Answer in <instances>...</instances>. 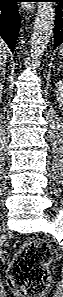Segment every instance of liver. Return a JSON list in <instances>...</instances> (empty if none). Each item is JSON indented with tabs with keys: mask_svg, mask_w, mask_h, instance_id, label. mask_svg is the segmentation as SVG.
Masks as SVG:
<instances>
[{
	"mask_svg": "<svg viewBox=\"0 0 63 297\" xmlns=\"http://www.w3.org/2000/svg\"><path fill=\"white\" fill-rule=\"evenodd\" d=\"M8 53V47L3 40H0V65H3L6 61Z\"/></svg>",
	"mask_w": 63,
	"mask_h": 297,
	"instance_id": "liver-1",
	"label": "liver"
}]
</instances>
